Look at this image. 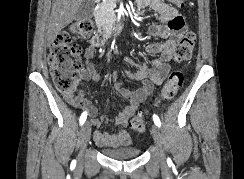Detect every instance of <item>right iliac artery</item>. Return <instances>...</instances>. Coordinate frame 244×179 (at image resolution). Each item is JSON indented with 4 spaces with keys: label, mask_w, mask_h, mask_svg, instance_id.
<instances>
[{
    "label": "right iliac artery",
    "mask_w": 244,
    "mask_h": 179,
    "mask_svg": "<svg viewBox=\"0 0 244 179\" xmlns=\"http://www.w3.org/2000/svg\"><path fill=\"white\" fill-rule=\"evenodd\" d=\"M86 118H87V112L85 111L80 116V120H79L80 121V125L84 124V122L86 121Z\"/></svg>",
    "instance_id": "1"
}]
</instances>
